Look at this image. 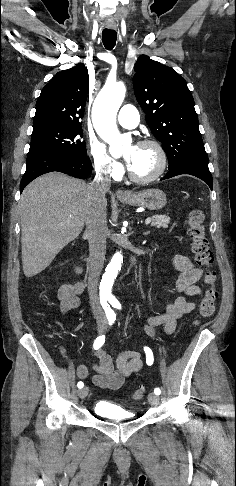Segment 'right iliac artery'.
<instances>
[{"mask_svg": "<svg viewBox=\"0 0 236 486\" xmlns=\"http://www.w3.org/2000/svg\"><path fill=\"white\" fill-rule=\"evenodd\" d=\"M102 304L104 306L109 325H112L114 323V321L116 320V314L110 308V306L108 304H106V301L102 302ZM104 342H105V335H101V336L97 337L96 340L94 341L93 348L95 350L99 349L104 344ZM77 386H78V388H82L84 386V384H83V382L80 381V382H78Z\"/></svg>", "mask_w": 236, "mask_h": 486, "instance_id": "right-iliac-artery-1", "label": "right iliac artery"}]
</instances>
